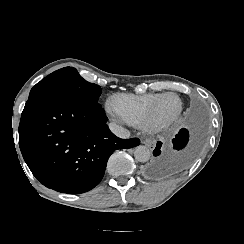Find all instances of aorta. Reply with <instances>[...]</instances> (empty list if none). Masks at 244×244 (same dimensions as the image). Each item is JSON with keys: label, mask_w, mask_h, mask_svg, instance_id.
<instances>
[{"label": "aorta", "mask_w": 244, "mask_h": 244, "mask_svg": "<svg viewBox=\"0 0 244 244\" xmlns=\"http://www.w3.org/2000/svg\"><path fill=\"white\" fill-rule=\"evenodd\" d=\"M150 156V150L146 146L139 145L134 150V157L139 162H147Z\"/></svg>", "instance_id": "1"}]
</instances>
